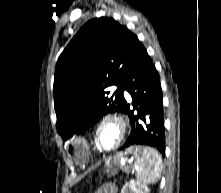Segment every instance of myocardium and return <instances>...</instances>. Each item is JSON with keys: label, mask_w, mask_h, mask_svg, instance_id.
Segmentation results:
<instances>
[{"label": "myocardium", "mask_w": 221, "mask_h": 193, "mask_svg": "<svg viewBox=\"0 0 221 193\" xmlns=\"http://www.w3.org/2000/svg\"><path fill=\"white\" fill-rule=\"evenodd\" d=\"M106 123H113L114 125H116V127L118 129L117 141L110 148H103L99 143L100 129ZM126 130H127V124H126L125 120L120 115H118L116 113H107V114L103 115L99 119V121L97 122L95 129H94L93 140H94L95 147L101 152H110V151L117 149L121 145V143L123 142V140L125 138Z\"/></svg>", "instance_id": "myocardium-1"}]
</instances>
